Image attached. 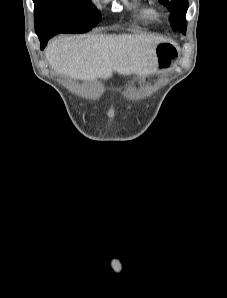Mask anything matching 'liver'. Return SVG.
<instances>
[{"mask_svg": "<svg viewBox=\"0 0 227 298\" xmlns=\"http://www.w3.org/2000/svg\"><path fill=\"white\" fill-rule=\"evenodd\" d=\"M166 41L139 34L65 36L51 41L45 56L56 72L78 80H106L113 72L144 77L155 73L156 47Z\"/></svg>", "mask_w": 227, "mask_h": 298, "instance_id": "liver-1", "label": "liver"}]
</instances>
